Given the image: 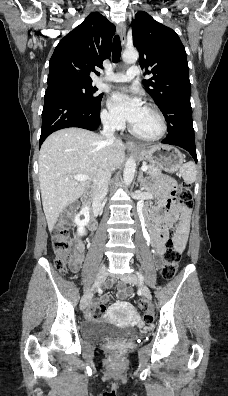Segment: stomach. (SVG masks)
Masks as SVG:
<instances>
[{
	"mask_svg": "<svg viewBox=\"0 0 228 396\" xmlns=\"http://www.w3.org/2000/svg\"><path fill=\"white\" fill-rule=\"evenodd\" d=\"M140 160H145L161 170L169 173L176 172L184 162L183 154L169 145H156L150 148H140L136 151Z\"/></svg>",
	"mask_w": 228,
	"mask_h": 396,
	"instance_id": "0dacf381",
	"label": "stomach"
}]
</instances>
